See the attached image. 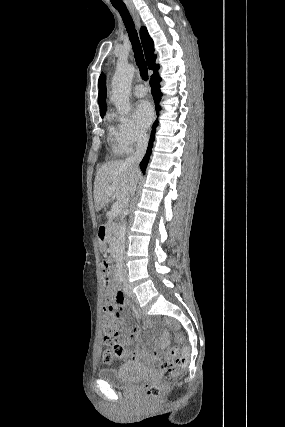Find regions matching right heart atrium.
<instances>
[{"label":"right heart atrium","mask_w":285,"mask_h":427,"mask_svg":"<svg viewBox=\"0 0 285 427\" xmlns=\"http://www.w3.org/2000/svg\"><path fill=\"white\" fill-rule=\"evenodd\" d=\"M116 121L114 137L123 154L129 153L135 147L145 143V132L129 116H116Z\"/></svg>","instance_id":"d8ad5b80"}]
</instances>
